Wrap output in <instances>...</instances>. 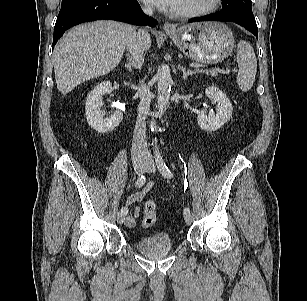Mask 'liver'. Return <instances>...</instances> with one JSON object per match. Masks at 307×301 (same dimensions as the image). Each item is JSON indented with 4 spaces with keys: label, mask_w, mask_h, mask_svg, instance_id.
Returning a JSON list of instances; mask_svg holds the SVG:
<instances>
[{
    "label": "liver",
    "mask_w": 307,
    "mask_h": 301,
    "mask_svg": "<svg viewBox=\"0 0 307 301\" xmlns=\"http://www.w3.org/2000/svg\"><path fill=\"white\" fill-rule=\"evenodd\" d=\"M136 30L115 21H95L69 30L56 44L53 66L58 90L66 95L79 84L103 76L120 62ZM145 50L151 38H144Z\"/></svg>",
    "instance_id": "1"
}]
</instances>
